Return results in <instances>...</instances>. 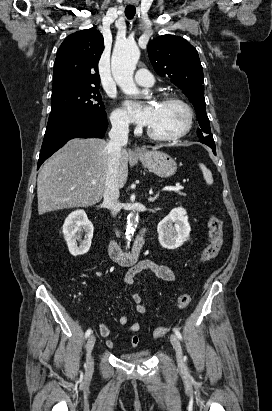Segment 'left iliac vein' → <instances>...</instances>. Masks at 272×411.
Here are the masks:
<instances>
[{"label":"left iliac vein","mask_w":272,"mask_h":411,"mask_svg":"<svg viewBox=\"0 0 272 411\" xmlns=\"http://www.w3.org/2000/svg\"><path fill=\"white\" fill-rule=\"evenodd\" d=\"M170 341H171L173 348L175 349L177 362L179 365H182L183 364V352H182L180 341L177 338V336L174 334L170 335Z\"/></svg>","instance_id":"1"}]
</instances>
